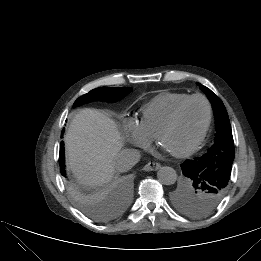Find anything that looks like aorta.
Instances as JSON below:
<instances>
[{"mask_svg":"<svg viewBox=\"0 0 261 261\" xmlns=\"http://www.w3.org/2000/svg\"><path fill=\"white\" fill-rule=\"evenodd\" d=\"M157 178L161 184L172 185L177 180V173L172 167L163 166L158 170Z\"/></svg>","mask_w":261,"mask_h":261,"instance_id":"762f6f07","label":"aorta"}]
</instances>
